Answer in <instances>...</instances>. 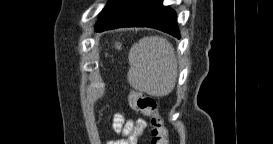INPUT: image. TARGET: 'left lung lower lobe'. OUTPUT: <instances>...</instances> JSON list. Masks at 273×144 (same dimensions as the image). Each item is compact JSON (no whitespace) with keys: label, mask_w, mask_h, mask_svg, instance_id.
<instances>
[{"label":"left lung lower lobe","mask_w":273,"mask_h":144,"mask_svg":"<svg viewBox=\"0 0 273 144\" xmlns=\"http://www.w3.org/2000/svg\"><path fill=\"white\" fill-rule=\"evenodd\" d=\"M163 0H110L100 13L96 31L119 27H151L180 38L174 10Z\"/></svg>","instance_id":"obj_1"}]
</instances>
